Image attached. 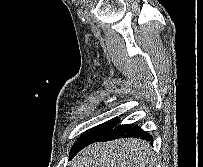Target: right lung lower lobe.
I'll return each instance as SVG.
<instances>
[{
  "label": "right lung lower lobe",
  "instance_id": "1",
  "mask_svg": "<svg viewBox=\"0 0 203 167\" xmlns=\"http://www.w3.org/2000/svg\"><path fill=\"white\" fill-rule=\"evenodd\" d=\"M128 137L140 138L143 140H152V136H150V134H148L147 132L142 130L137 125H134V124L128 125L127 124V125H118V126L114 127L108 133H106L105 135H103L99 138H96L95 140L91 141L87 145L92 144L96 141L103 142V141H109V140H114V139H118V138H128ZM86 146H84V147H86ZM73 156L74 155H71L70 159Z\"/></svg>",
  "mask_w": 203,
  "mask_h": 167
}]
</instances>
